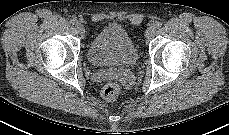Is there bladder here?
Listing matches in <instances>:
<instances>
[{
  "instance_id": "obj_1",
  "label": "bladder",
  "mask_w": 229,
  "mask_h": 135,
  "mask_svg": "<svg viewBox=\"0 0 229 135\" xmlns=\"http://www.w3.org/2000/svg\"><path fill=\"white\" fill-rule=\"evenodd\" d=\"M87 59L95 66L134 65L138 49L126 29L116 23L102 27L87 48Z\"/></svg>"
}]
</instances>
